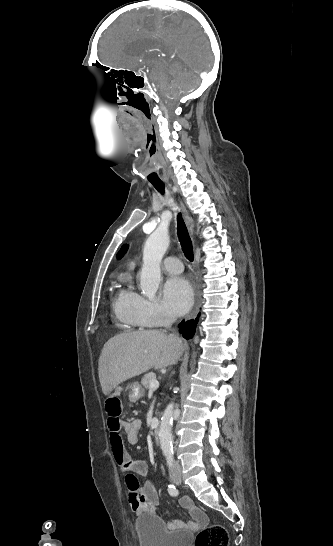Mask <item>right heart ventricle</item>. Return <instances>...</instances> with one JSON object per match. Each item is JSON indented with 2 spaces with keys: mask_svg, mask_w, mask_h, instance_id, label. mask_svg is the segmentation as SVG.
I'll use <instances>...</instances> for the list:
<instances>
[{
  "mask_svg": "<svg viewBox=\"0 0 333 546\" xmlns=\"http://www.w3.org/2000/svg\"><path fill=\"white\" fill-rule=\"evenodd\" d=\"M136 294L131 280L126 276L112 297L111 306L114 317L127 329H136L143 325L135 316L132 308Z\"/></svg>",
  "mask_w": 333,
  "mask_h": 546,
  "instance_id": "right-heart-ventricle-1",
  "label": "right heart ventricle"
}]
</instances>
